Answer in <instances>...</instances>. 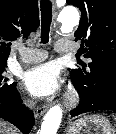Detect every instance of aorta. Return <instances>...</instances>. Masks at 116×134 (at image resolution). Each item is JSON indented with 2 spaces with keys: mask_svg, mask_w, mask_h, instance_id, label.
Returning <instances> with one entry per match:
<instances>
[{
  "mask_svg": "<svg viewBox=\"0 0 116 134\" xmlns=\"http://www.w3.org/2000/svg\"><path fill=\"white\" fill-rule=\"evenodd\" d=\"M59 21L61 23V28H72L79 21V13L74 7H66L60 14ZM63 111L59 105L53 106L46 113L41 128L40 134H56L61 120Z\"/></svg>",
  "mask_w": 116,
  "mask_h": 134,
  "instance_id": "obj_1",
  "label": "aorta"
}]
</instances>
